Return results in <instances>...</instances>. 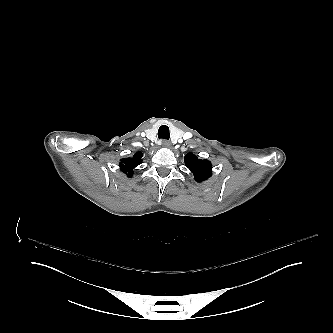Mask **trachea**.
I'll return each mask as SVG.
<instances>
[{
	"instance_id": "1",
	"label": "trachea",
	"mask_w": 333,
	"mask_h": 333,
	"mask_svg": "<svg viewBox=\"0 0 333 333\" xmlns=\"http://www.w3.org/2000/svg\"><path fill=\"white\" fill-rule=\"evenodd\" d=\"M158 138L164 139V140H169L170 130H169L168 126H166V125L160 126V128L158 129Z\"/></svg>"
}]
</instances>
